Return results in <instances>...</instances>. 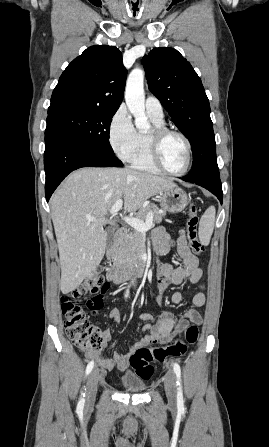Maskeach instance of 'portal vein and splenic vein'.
I'll return each mask as SVG.
<instances>
[{"mask_svg": "<svg viewBox=\"0 0 269 447\" xmlns=\"http://www.w3.org/2000/svg\"><path fill=\"white\" fill-rule=\"evenodd\" d=\"M123 206V200H117L115 202L114 206H112L110 210V214L114 216V214H117L119 210H121ZM88 222H96V218L94 216H86ZM124 222L126 224L132 225L134 229H138V231H148V229H151L152 227V221H153V212H148L145 222L143 220H138V218H129V216H126V218H123Z\"/></svg>", "mask_w": 269, "mask_h": 447, "instance_id": "1", "label": "portal vein and splenic vein"}]
</instances>
